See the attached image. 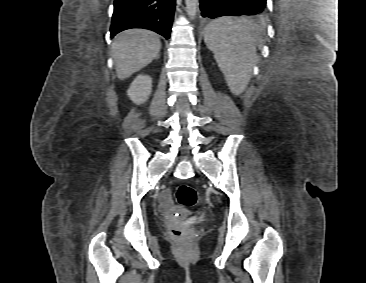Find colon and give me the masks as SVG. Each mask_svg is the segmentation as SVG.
Segmentation results:
<instances>
[{
  "mask_svg": "<svg viewBox=\"0 0 366 283\" xmlns=\"http://www.w3.org/2000/svg\"><path fill=\"white\" fill-rule=\"evenodd\" d=\"M175 197L176 201L184 207H192L197 202L196 190L187 184H179L176 187ZM172 234L177 238L180 244H183L187 239L186 233L182 230H174L172 231Z\"/></svg>",
  "mask_w": 366,
  "mask_h": 283,
  "instance_id": "obj_1",
  "label": "colon"
}]
</instances>
